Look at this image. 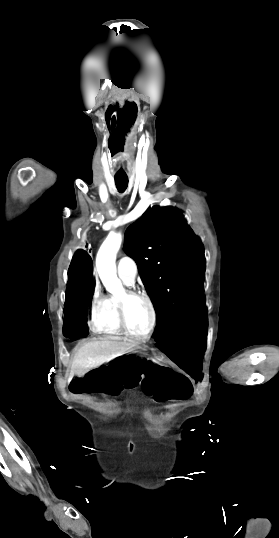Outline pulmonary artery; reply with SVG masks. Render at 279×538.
<instances>
[{
	"instance_id": "e3ab8cb5",
	"label": "pulmonary artery",
	"mask_w": 279,
	"mask_h": 538,
	"mask_svg": "<svg viewBox=\"0 0 279 538\" xmlns=\"http://www.w3.org/2000/svg\"><path fill=\"white\" fill-rule=\"evenodd\" d=\"M117 273L128 283H133L137 274V267L129 257H121L116 264Z\"/></svg>"
}]
</instances>
